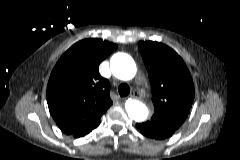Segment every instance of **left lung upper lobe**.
<instances>
[{
	"label": "left lung upper lobe",
	"mask_w": 240,
	"mask_h": 160,
	"mask_svg": "<svg viewBox=\"0 0 240 160\" xmlns=\"http://www.w3.org/2000/svg\"><path fill=\"white\" fill-rule=\"evenodd\" d=\"M153 94L151 123L173 134L192 107L195 89L182 58L170 47L154 41L138 43Z\"/></svg>",
	"instance_id": "1"
}]
</instances>
